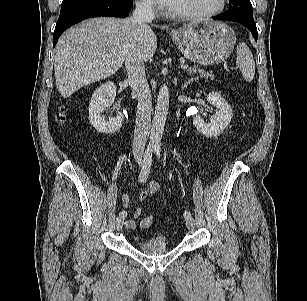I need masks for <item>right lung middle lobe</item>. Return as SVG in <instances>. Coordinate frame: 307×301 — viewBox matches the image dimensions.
Instances as JSON below:
<instances>
[{"label": "right lung middle lobe", "mask_w": 307, "mask_h": 301, "mask_svg": "<svg viewBox=\"0 0 307 301\" xmlns=\"http://www.w3.org/2000/svg\"><path fill=\"white\" fill-rule=\"evenodd\" d=\"M79 1H83V0H63L62 6H66V5H70V4H73V3H77Z\"/></svg>", "instance_id": "1"}]
</instances>
